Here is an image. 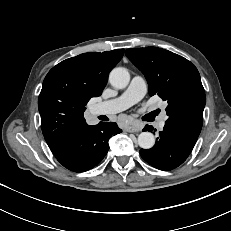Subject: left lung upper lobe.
I'll return each instance as SVG.
<instances>
[{"instance_id": "left-lung-upper-lobe-1", "label": "left lung upper lobe", "mask_w": 231, "mask_h": 231, "mask_svg": "<svg viewBox=\"0 0 231 231\" xmlns=\"http://www.w3.org/2000/svg\"><path fill=\"white\" fill-rule=\"evenodd\" d=\"M129 60L145 75L149 94L167 101V123L199 136L206 97L197 68L184 57L157 47L127 49Z\"/></svg>"}]
</instances>
